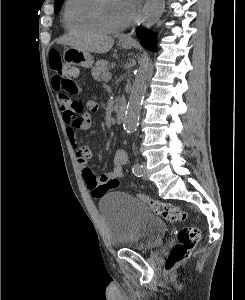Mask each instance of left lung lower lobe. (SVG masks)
I'll return each instance as SVG.
<instances>
[{"mask_svg": "<svg viewBox=\"0 0 245 300\" xmlns=\"http://www.w3.org/2000/svg\"><path fill=\"white\" fill-rule=\"evenodd\" d=\"M136 34L138 38L141 39V44L144 45V47L151 51L156 50V39L152 32L144 28L138 27V29L136 30Z\"/></svg>", "mask_w": 245, "mask_h": 300, "instance_id": "0a47b994", "label": "left lung lower lobe"}]
</instances>
